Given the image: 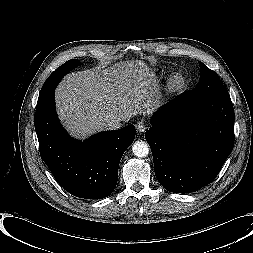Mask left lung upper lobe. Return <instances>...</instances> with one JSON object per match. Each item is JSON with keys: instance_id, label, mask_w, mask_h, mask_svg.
I'll return each instance as SVG.
<instances>
[{"instance_id": "obj_1", "label": "left lung upper lobe", "mask_w": 253, "mask_h": 253, "mask_svg": "<svg viewBox=\"0 0 253 253\" xmlns=\"http://www.w3.org/2000/svg\"><path fill=\"white\" fill-rule=\"evenodd\" d=\"M201 69L200 80L197 83L193 91L199 96H205L215 89H217L223 83L221 82L219 76L213 70L209 69L205 64L199 62Z\"/></svg>"}]
</instances>
